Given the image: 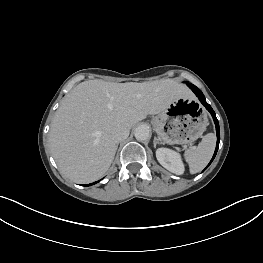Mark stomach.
<instances>
[{
	"label": "stomach",
	"mask_w": 263,
	"mask_h": 263,
	"mask_svg": "<svg viewBox=\"0 0 263 263\" xmlns=\"http://www.w3.org/2000/svg\"><path fill=\"white\" fill-rule=\"evenodd\" d=\"M159 138L168 144H187L198 139L208 125L206 113L194 98L181 97L152 118Z\"/></svg>",
	"instance_id": "stomach-1"
}]
</instances>
